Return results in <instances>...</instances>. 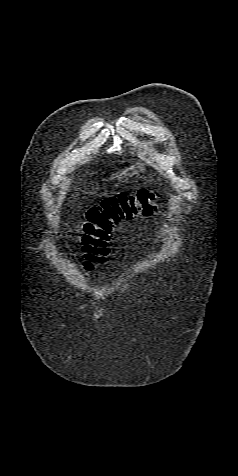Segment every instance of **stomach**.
Returning a JSON list of instances; mask_svg holds the SVG:
<instances>
[{"instance_id":"obj_1","label":"stomach","mask_w":238,"mask_h":476,"mask_svg":"<svg viewBox=\"0 0 238 476\" xmlns=\"http://www.w3.org/2000/svg\"><path fill=\"white\" fill-rule=\"evenodd\" d=\"M125 174H126V172H123V173H122V174H120L119 176H122V175H125Z\"/></svg>"}]
</instances>
